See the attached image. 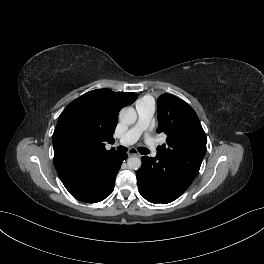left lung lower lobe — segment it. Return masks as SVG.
Wrapping results in <instances>:
<instances>
[{"label": "left lung lower lobe", "instance_id": "1", "mask_svg": "<svg viewBox=\"0 0 264 264\" xmlns=\"http://www.w3.org/2000/svg\"><path fill=\"white\" fill-rule=\"evenodd\" d=\"M138 169L137 183L142 197L151 203H170L177 199L192 183L200 165L186 166L182 156H144Z\"/></svg>", "mask_w": 264, "mask_h": 264}]
</instances>
